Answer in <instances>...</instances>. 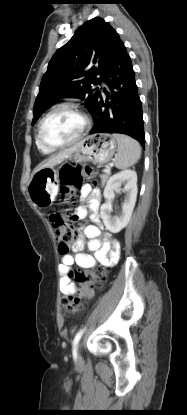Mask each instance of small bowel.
I'll return each instance as SVG.
<instances>
[{
    "instance_id": "small-bowel-1",
    "label": "small bowel",
    "mask_w": 187,
    "mask_h": 415,
    "mask_svg": "<svg viewBox=\"0 0 187 415\" xmlns=\"http://www.w3.org/2000/svg\"><path fill=\"white\" fill-rule=\"evenodd\" d=\"M80 196L88 201L92 224L78 230L76 240L71 248L72 253L64 254L61 258L59 265L61 275L60 290L65 296L73 295L76 292V287L70 275L71 267L74 263L84 269H91L98 262L105 265H113L117 262L120 254V242L112 234L102 232L98 211L101 204L100 190L86 184L81 187ZM88 209L83 206L78 207L75 211V218L83 219ZM86 239H88L87 246L89 250L94 253L93 256L83 252Z\"/></svg>"
}]
</instances>
